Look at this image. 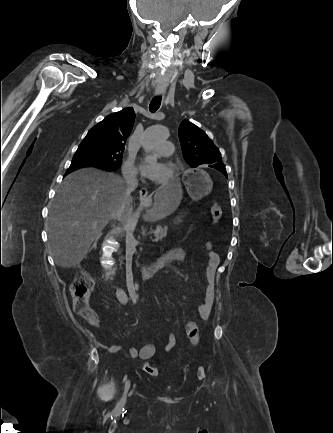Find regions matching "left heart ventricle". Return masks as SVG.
<instances>
[{"label":"left heart ventricle","instance_id":"1","mask_svg":"<svg viewBox=\"0 0 333 433\" xmlns=\"http://www.w3.org/2000/svg\"><path fill=\"white\" fill-rule=\"evenodd\" d=\"M151 158L153 159V161H157V159H160L161 157H162V155L161 154H158V153H156V152H153V153H151ZM164 165V172H165V174H166V177H167V175H168V167H167V165H165V164H163ZM165 177V178H166ZM164 178V179H165Z\"/></svg>","mask_w":333,"mask_h":433}]
</instances>
